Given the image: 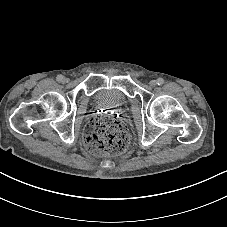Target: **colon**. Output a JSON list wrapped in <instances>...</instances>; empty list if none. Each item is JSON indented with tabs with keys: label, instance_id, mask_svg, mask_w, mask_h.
Returning a JSON list of instances; mask_svg holds the SVG:
<instances>
[{
	"label": "colon",
	"instance_id": "colon-1",
	"mask_svg": "<svg viewBox=\"0 0 227 227\" xmlns=\"http://www.w3.org/2000/svg\"><path fill=\"white\" fill-rule=\"evenodd\" d=\"M84 138L87 149L102 156L123 153L129 141L126 126L120 120L107 115L92 118L86 127Z\"/></svg>",
	"mask_w": 227,
	"mask_h": 227
}]
</instances>
